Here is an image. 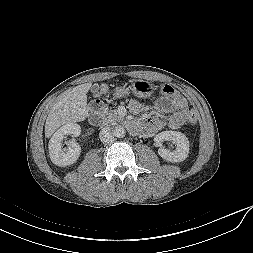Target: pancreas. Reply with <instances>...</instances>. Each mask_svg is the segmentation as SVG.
Returning a JSON list of instances; mask_svg holds the SVG:
<instances>
[{
  "label": "pancreas",
  "mask_w": 253,
  "mask_h": 253,
  "mask_svg": "<svg viewBox=\"0 0 253 253\" xmlns=\"http://www.w3.org/2000/svg\"><path fill=\"white\" fill-rule=\"evenodd\" d=\"M101 118L104 125H116L117 122L122 120V117H120L116 111L109 108H103Z\"/></svg>",
  "instance_id": "cf45deb5"
}]
</instances>
